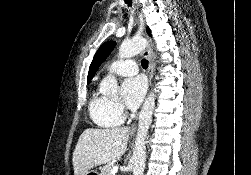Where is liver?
<instances>
[{"label": "liver", "mask_w": 251, "mask_h": 175, "mask_svg": "<svg viewBox=\"0 0 251 175\" xmlns=\"http://www.w3.org/2000/svg\"><path fill=\"white\" fill-rule=\"evenodd\" d=\"M130 127L84 129L73 151L74 175H85L95 165L118 159L127 147Z\"/></svg>", "instance_id": "liver-1"}]
</instances>
